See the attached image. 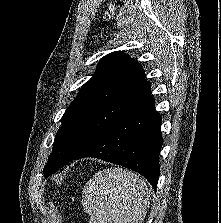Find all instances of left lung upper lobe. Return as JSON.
Wrapping results in <instances>:
<instances>
[{
	"label": "left lung upper lobe",
	"instance_id": "5c2ea615",
	"mask_svg": "<svg viewBox=\"0 0 221 223\" xmlns=\"http://www.w3.org/2000/svg\"><path fill=\"white\" fill-rule=\"evenodd\" d=\"M150 88L142 67L128 55L119 51L103 57L66 109L44 174H53L82 153Z\"/></svg>",
	"mask_w": 221,
	"mask_h": 223
}]
</instances>
